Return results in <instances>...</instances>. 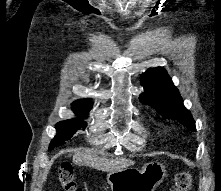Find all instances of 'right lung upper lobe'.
Segmentation results:
<instances>
[{
	"instance_id": "obj_1",
	"label": "right lung upper lobe",
	"mask_w": 221,
	"mask_h": 191,
	"mask_svg": "<svg viewBox=\"0 0 221 191\" xmlns=\"http://www.w3.org/2000/svg\"><path fill=\"white\" fill-rule=\"evenodd\" d=\"M92 108V102L90 99H80L72 104V110L74 112L88 113Z\"/></svg>"
}]
</instances>
